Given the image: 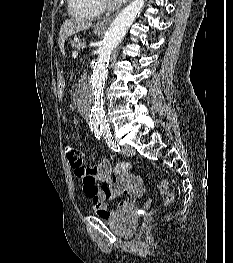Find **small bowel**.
<instances>
[{
  "instance_id": "1",
  "label": "small bowel",
  "mask_w": 233,
  "mask_h": 263,
  "mask_svg": "<svg viewBox=\"0 0 233 263\" xmlns=\"http://www.w3.org/2000/svg\"><path fill=\"white\" fill-rule=\"evenodd\" d=\"M119 165H123V170L118 169ZM87 168V175H76L82 179L84 194L94 203L97 215L103 219L112 214L107 204L109 201L124 195L126 198L117 209L132 208L136 199L144 194L143 181L130 163H120L113 169L111 160L106 158ZM151 205L152 201H148L145 207L150 208Z\"/></svg>"
}]
</instances>
